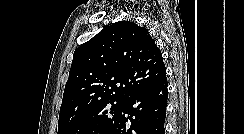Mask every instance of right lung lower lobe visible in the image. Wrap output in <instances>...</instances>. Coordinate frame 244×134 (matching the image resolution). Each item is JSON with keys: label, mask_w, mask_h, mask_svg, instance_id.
<instances>
[{"label": "right lung lower lobe", "mask_w": 244, "mask_h": 134, "mask_svg": "<svg viewBox=\"0 0 244 134\" xmlns=\"http://www.w3.org/2000/svg\"><path fill=\"white\" fill-rule=\"evenodd\" d=\"M167 77L130 95L104 134H165ZM125 113L128 117H125Z\"/></svg>", "instance_id": "obj_1"}]
</instances>
